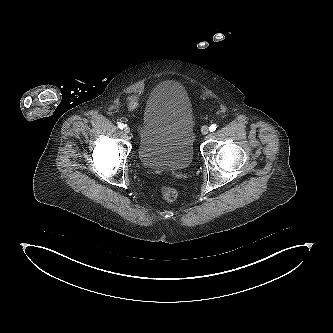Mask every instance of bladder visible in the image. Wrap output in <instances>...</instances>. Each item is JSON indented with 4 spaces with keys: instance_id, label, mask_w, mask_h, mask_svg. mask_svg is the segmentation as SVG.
<instances>
[{
    "instance_id": "bladder-1",
    "label": "bladder",
    "mask_w": 333,
    "mask_h": 333,
    "mask_svg": "<svg viewBox=\"0 0 333 333\" xmlns=\"http://www.w3.org/2000/svg\"><path fill=\"white\" fill-rule=\"evenodd\" d=\"M193 112L185 87L165 80L147 98L139 128L138 156L151 169L181 170L193 160Z\"/></svg>"
}]
</instances>
